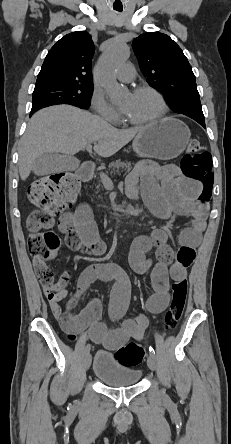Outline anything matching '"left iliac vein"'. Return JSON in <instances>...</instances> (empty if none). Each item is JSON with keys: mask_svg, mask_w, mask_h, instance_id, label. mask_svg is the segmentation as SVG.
<instances>
[{"mask_svg": "<svg viewBox=\"0 0 231 444\" xmlns=\"http://www.w3.org/2000/svg\"><path fill=\"white\" fill-rule=\"evenodd\" d=\"M147 364L151 370H153V371L156 370V359H155V356L152 355L151 353L149 354V356L147 358Z\"/></svg>", "mask_w": 231, "mask_h": 444, "instance_id": "4c4485c4", "label": "left iliac vein"}]
</instances>
